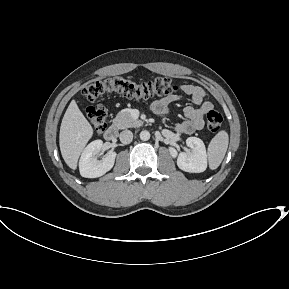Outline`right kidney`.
I'll return each instance as SVG.
<instances>
[{
  "mask_svg": "<svg viewBox=\"0 0 289 289\" xmlns=\"http://www.w3.org/2000/svg\"><path fill=\"white\" fill-rule=\"evenodd\" d=\"M102 145L103 142L101 140H95L83 150L79 161V170L82 177L97 178L104 175L113 167L116 157L115 152L110 153L102 160L96 158Z\"/></svg>",
  "mask_w": 289,
  "mask_h": 289,
  "instance_id": "right-kidney-1",
  "label": "right kidney"
}]
</instances>
